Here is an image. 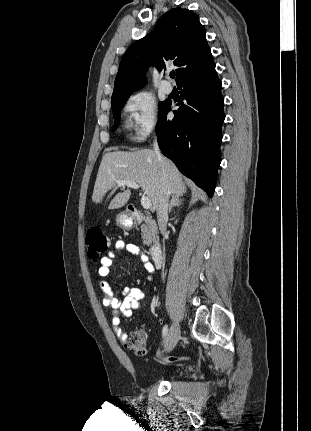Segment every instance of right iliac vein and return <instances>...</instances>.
<instances>
[{
    "instance_id": "1",
    "label": "right iliac vein",
    "mask_w": 311,
    "mask_h": 431,
    "mask_svg": "<svg viewBox=\"0 0 311 431\" xmlns=\"http://www.w3.org/2000/svg\"><path fill=\"white\" fill-rule=\"evenodd\" d=\"M179 338H180V325L178 321H175L166 338L164 350L167 352L171 351L177 344Z\"/></svg>"
}]
</instances>
